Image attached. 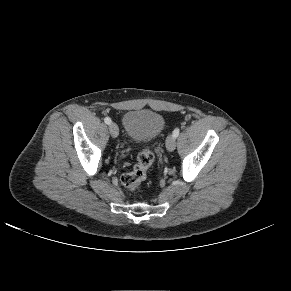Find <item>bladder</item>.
I'll return each instance as SVG.
<instances>
[{
	"mask_svg": "<svg viewBox=\"0 0 291 291\" xmlns=\"http://www.w3.org/2000/svg\"><path fill=\"white\" fill-rule=\"evenodd\" d=\"M123 127L131 142L146 143L161 133L164 128V118L151 110H131L123 117Z\"/></svg>",
	"mask_w": 291,
	"mask_h": 291,
	"instance_id": "obj_1",
	"label": "bladder"
}]
</instances>
